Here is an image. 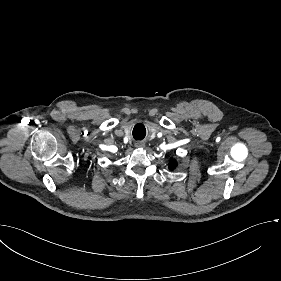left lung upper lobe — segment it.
<instances>
[{"label":"left lung upper lobe","mask_w":281,"mask_h":281,"mask_svg":"<svg viewBox=\"0 0 281 281\" xmlns=\"http://www.w3.org/2000/svg\"><path fill=\"white\" fill-rule=\"evenodd\" d=\"M176 166H177L176 161H175V160H172V161L170 162V169H171V170H174V169L176 168Z\"/></svg>","instance_id":"5c2ea615"}]
</instances>
